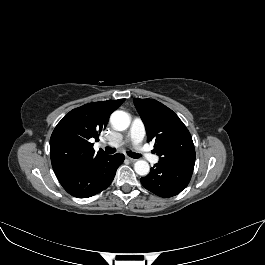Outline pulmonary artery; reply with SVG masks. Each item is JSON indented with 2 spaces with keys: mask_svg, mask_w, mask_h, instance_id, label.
Here are the masks:
<instances>
[{
  "mask_svg": "<svg viewBox=\"0 0 265 265\" xmlns=\"http://www.w3.org/2000/svg\"><path fill=\"white\" fill-rule=\"evenodd\" d=\"M145 136V127L143 123L135 118L132 122L131 128L129 130L127 140L131 141L137 151H139L149 162L155 164L159 161L157 155L149 153L145 148L140 144ZM123 141L109 142L108 145L119 146L122 145Z\"/></svg>",
  "mask_w": 265,
  "mask_h": 265,
  "instance_id": "obj_1",
  "label": "pulmonary artery"
}]
</instances>
